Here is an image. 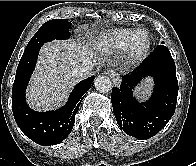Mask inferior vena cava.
<instances>
[{
    "instance_id": "inferior-vena-cava-1",
    "label": "inferior vena cava",
    "mask_w": 196,
    "mask_h": 166,
    "mask_svg": "<svg viewBox=\"0 0 196 166\" xmlns=\"http://www.w3.org/2000/svg\"><path fill=\"white\" fill-rule=\"evenodd\" d=\"M93 69V64L85 63L77 68L74 69L73 74L79 78H84L87 75L91 74Z\"/></svg>"
}]
</instances>
